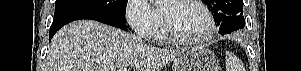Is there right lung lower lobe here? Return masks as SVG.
I'll list each match as a JSON object with an SVG mask.
<instances>
[{
  "label": "right lung lower lobe",
  "instance_id": "obj_1",
  "mask_svg": "<svg viewBox=\"0 0 301 71\" xmlns=\"http://www.w3.org/2000/svg\"><path fill=\"white\" fill-rule=\"evenodd\" d=\"M80 19H90L99 21L104 24H108L123 30H127L125 23H123L118 18L108 15L106 13L100 11H93V10H80V11H73L66 14H62L59 16L54 17L53 23L50 27V40L54 36V34L65 24L80 20Z\"/></svg>",
  "mask_w": 301,
  "mask_h": 71
}]
</instances>
